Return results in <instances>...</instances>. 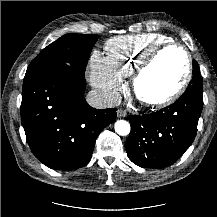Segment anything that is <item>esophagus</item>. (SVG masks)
<instances>
[{"label": "esophagus", "mask_w": 217, "mask_h": 217, "mask_svg": "<svg viewBox=\"0 0 217 217\" xmlns=\"http://www.w3.org/2000/svg\"><path fill=\"white\" fill-rule=\"evenodd\" d=\"M127 116V112L123 109H118L117 110V117H126Z\"/></svg>", "instance_id": "esophagus-1"}]
</instances>
